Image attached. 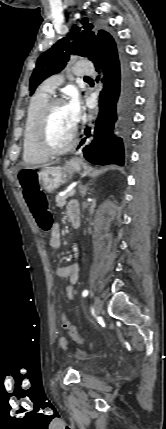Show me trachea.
Masks as SVG:
<instances>
[{
  "label": "trachea",
  "mask_w": 166,
  "mask_h": 429,
  "mask_svg": "<svg viewBox=\"0 0 166 429\" xmlns=\"http://www.w3.org/2000/svg\"><path fill=\"white\" fill-rule=\"evenodd\" d=\"M84 79H85V80H86V79H90V77H87V76H86Z\"/></svg>",
  "instance_id": "obj_1"
}]
</instances>
